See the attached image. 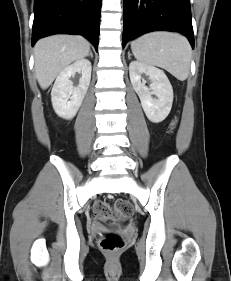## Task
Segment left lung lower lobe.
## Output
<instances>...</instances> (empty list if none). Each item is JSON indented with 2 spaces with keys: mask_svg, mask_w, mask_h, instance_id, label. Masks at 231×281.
<instances>
[{
  "mask_svg": "<svg viewBox=\"0 0 231 281\" xmlns=\"http://www.w3.org/2000/svg\"><path fill=\"white\" fill-rule=\"evenodd\" d=\"M159 30L184 34L194 48L189 0H124L123 47L132 37Z\"/></svg>",
  "mask_w": 231,
  "mask_h": 281,
  "instance_id": "obj_1",
  "label": "left lung lower lobe"
}]
</instances>
